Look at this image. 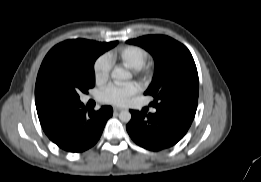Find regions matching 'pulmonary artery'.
Wrapping results in <instances>:
<instances>
[{"label":"pulmonary artery","instance_id":"obj_1","mask_svg":"<svg viewBox=\"0 0 261 182\" xmlns=\"http://www.w3.org/2000/svg\"><path fill=\"white\" fill-rule=\"evenodd\" d=\"M152 112H153V113H155V112H156V110H155V109H153V110H152Z\"/></svg>","mask_w":261,"mask_h":182}]
</instances>
